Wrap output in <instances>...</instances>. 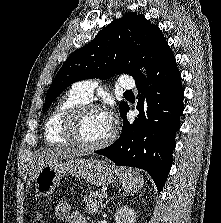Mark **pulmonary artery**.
I'll list each match as a JSON object with an SVG mask.
<instances>
[{
  "instance_id": "obj_1",
  "label": "pulmonary artery",
  "mask_w": 221,
  "mask_h": 223,
  "mask_svg": "<svg viewBox=\"0 0 221 223\" xmlns=\"http://www.w3.org/2000/svg\"><path fill=\"white\" fill-rule=\"evenodd\" d=\"M120 87L124 89H132L135 86L134 80L129 77H121L118 81ZM98 86L95 79L81 80L73 84L72 90L86 101L92 98L94 89Z\"/></svg>"
}]
</instances>
